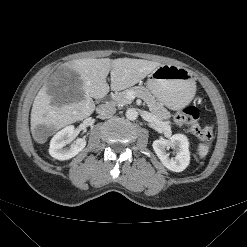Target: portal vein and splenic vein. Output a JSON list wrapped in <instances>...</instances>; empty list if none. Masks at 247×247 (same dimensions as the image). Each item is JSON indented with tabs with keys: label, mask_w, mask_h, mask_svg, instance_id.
I'll return each mask as SVG.
<instances>
[{
	"label": "portal vein and splenic vein",
	"mask_w": 247,
	"mask_h": 247,
	"mask_svg": "<svg viewBox=\"0 0 247 247\" xmlns=\"http://www.w3.org/2000/svg\"><path fill=\"white\" fill-rule=\"evenodd\" d=\"M132 94H133V93H132ZM132 94H129V98H130V99H134V98H135V96L132 95Z\"/></svg>",
	"instance_id": "18ae733b"
}]
</instances>
